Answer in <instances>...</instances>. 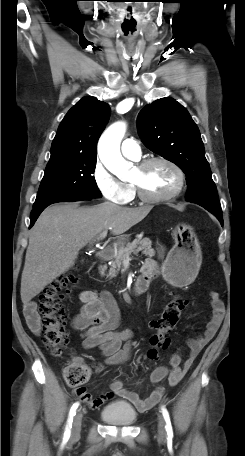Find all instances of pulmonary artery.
<instances>
[{
	"mask_svg": "<svg viewBox=\"0 0 245 456\" xmlns=\"http://www.w3.org/2000/svg\"><path fill=\"white\" fill-rule=\"evenodd\" d=\"M121 151L124 156L133 160H138L141 157L140 145L132 138H127L122 142Z\"/></svg>",
	"mask_w": 245,
	"mask_h": 456,
	"instance_id": "e3ab8cb5",
	"label": "pulmonary artery"
}]
</instances>
